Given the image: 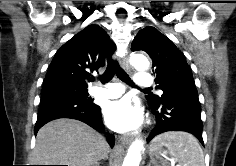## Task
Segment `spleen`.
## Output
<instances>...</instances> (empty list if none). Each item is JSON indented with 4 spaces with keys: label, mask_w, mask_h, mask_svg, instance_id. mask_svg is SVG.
I'll return each instance as SVG.
<instances>
[{
    "label": "spleen",
    "mask_w": 236,
    "mask_h": 166,
    "mask_svg": "<svg viewBox=\"0 0 236 166\" xmlns=\"http://www.w3.org/2000/svg\"><path fill=\"white\" fill-rule=\"evenodd\" d=\"M152 146L162 151L163 147L178 162L177 166H205L203 151L196 138L185 132H166L152 141ZM163 166L167 161L162 160Z\"/></svg>",
    "instance_id": "1"
}]
</instances>
